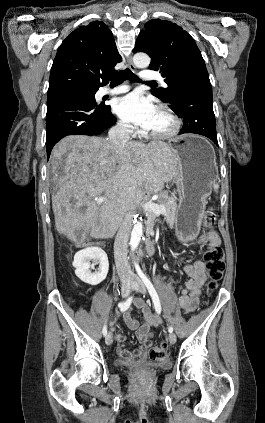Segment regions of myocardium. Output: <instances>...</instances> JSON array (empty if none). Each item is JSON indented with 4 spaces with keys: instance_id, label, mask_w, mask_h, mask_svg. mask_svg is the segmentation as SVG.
<instances>
[{
    "instance_id": "myocardium-1",
    "label": "myocardium",
    "mask_w": 265,
    "mask_h": 423,
    "mask_svg": "<svg viewBox=\"0 0 265 423\" xmlns=\"http://www.w3.org/2000/svg\"><path fill=\"white\" fill-rule=\"evenodd\" d=\"M157 108L171 120L172 126L166 131L158 132L147 130V133L157 139H168L176 136L182 128V121L179 116L167 105L160 104Z\"/></svg>"
}]
</instances>
